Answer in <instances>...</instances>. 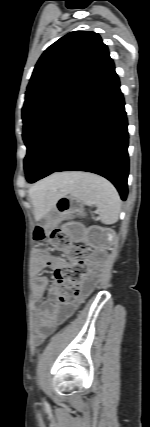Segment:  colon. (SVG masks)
<instances>
[{"label":"colon","instance_id":"1","mask_svg":"<svg viewBox=\"0 0 150 427\" xmlns=\"http://www.w3.org/2000/svg\"><path fill=\"white\" fill-rule=\"evenodd\" d=\"M34 238L39 241L48 240L53 247L67 250L73 264L56 269L54 275L59 300L64 303L71 302L76 298L78 287L86 276L85 266L81 260L85 250L80 246H72L68 234L61 229H54L50 233H46L41 227H38L34 232Z\"/></svg>","mask_w":150,"mask_h":427}]
</instances>
